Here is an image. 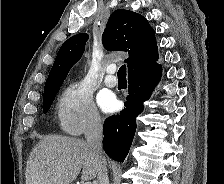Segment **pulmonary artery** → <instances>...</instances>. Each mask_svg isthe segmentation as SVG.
Instances as JSON below:
<instances>
[{"label":"pulmonary artery","mask_w":224,"mask_h":184,"mask_svg":"<svg viewBox=\"0 0 224 184\" xmlns=\"http://www.w3.org/2000/svg\"><path fill=\"white\" fill-rule=\"evenodd\" d=\"M115 70H116V67L114 65H110L107 68V75L104 79V83L107 87L113 88L118 83L116 77L113 75Z\"/></svg>","instance_id":"1"}]
</instances>
